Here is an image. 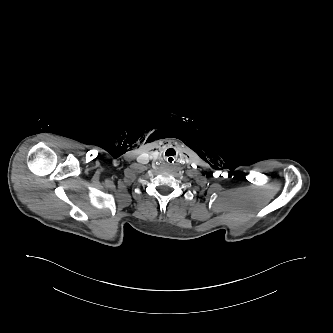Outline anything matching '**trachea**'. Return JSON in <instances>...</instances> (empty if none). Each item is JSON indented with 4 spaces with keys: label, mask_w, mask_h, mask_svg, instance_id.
Segmentation results:
<instances>
[{
    "label": "trachea",
    "mask_w": 333,
    "mask_h": 333,
    "mask_svg": "<svg viewBox=\"0 0 333 333\" xmlns=\"http://www.w3.org/2000/svg\"><path fill=\"white\" fill-rule=\"evenodd\" d=\"M165 161L169 165H175L179 161V156L175 152H169L165 156Z\"/></svg>",
    "instance_id": "trachea-1"
}]
</instances>
